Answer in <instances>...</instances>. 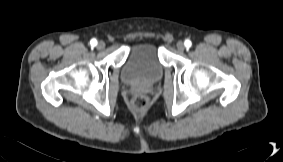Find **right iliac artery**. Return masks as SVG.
Returning a JSON list of instances; mask_svg holds the SVG:
<instances>
[{"mask_svg": "<svg viewBox=\"0 0 283 162\" xmlns=\"http://www.w3.org/2000/svg\"><path fill=\"white\" fill-rule=\"evenodd\" d=\"M90 44H91L92 46H96V45H97V40H96V39H92V40L90 41Z\"/></svg>", "mask_w": 283, "mask_h": 162, "instance_id": "82829eb1", "label": "right iliac artery"}]
</instances>
